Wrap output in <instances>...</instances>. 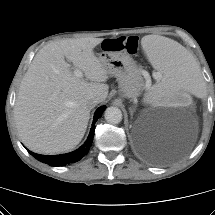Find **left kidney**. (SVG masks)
<instances>
[{
    "label": "left kidney",
    "mask_w": 215,
    "mask_h": 215,
    "mask_svg": "<svg viewBox=\"0 0 215 215\" xmlns=\"http://www.w3.org/2000/svg\"><path fill=\"white\" fill-rule=\"evenodd\" d=\"M144 102L148 106H156L161 105L165 106L167 104L171 106H179V107H187L190 108L194 104L193 97H187L183 95L182 93L176 94L172 93L170 95L164 94V95H158L155 93H151L148 96L145 97Z\"/></svg>",
    "instance_id": "5707ae66"
}]
</instances>
